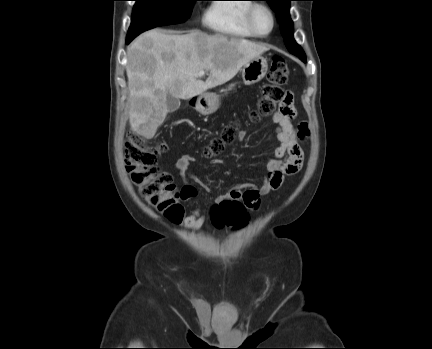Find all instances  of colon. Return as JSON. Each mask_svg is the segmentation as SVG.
I'll use <instances>...</instances> for the list:
<instances>
[{"label":"colon","mask_w":432,"mask_h":349,"mask_svg":"<svg viewBox=\"0 0 432 349\" xmlns=\"http://www.w3.org/2000/svg\"><path fill=\"white\" fill-rule=\"evenodd\" d=\"M289 69L286 61L275 56L267 75V83L263 85L257 107L249 114L251 121L270 115L276 111H289L292 94L282 86L287 82ZM238 132V125L231 124L222 133L210 141L205 149L208 157L220 154L225 146L232 142ZM126 169L132 182L138 187L140 195L172 222H178L183 216L180 195L176 191L170 173L162 171L158 166V157L166 149L163 142L148 146L137 135H130L125 142ZM248 221L247 208L240 201L226 200L218 204L213 211L212 223L221 227H241Z\"/></svg>","instance_id":"obj_1"}]
</instances>
